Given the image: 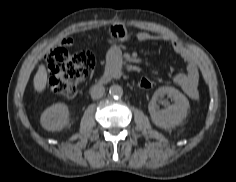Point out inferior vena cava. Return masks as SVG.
<instances>
[{
    "label": "inferior vena cava",
    "mask_w": 236,
    "mask_h": 182,
    "mask_svg": "<svg viewBox=\"0 0 236 182\" xmlns=\"http://www.w3.org/2000/svg\"><path fill=\"white\" fill-rule=\"evenodd\" d=\"M105 88L102 85H96L92 88L90 94L92 99H99L103 96Z\"/></svg>",
    "instance_id": "inferior-vena-cava-1"
}]
</instances>
